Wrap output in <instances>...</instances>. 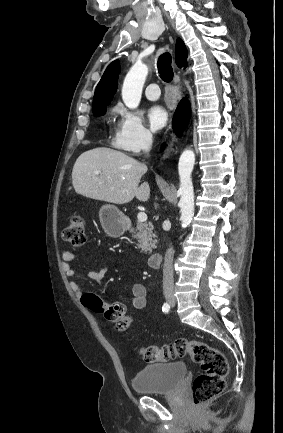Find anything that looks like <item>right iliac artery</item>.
<instances>
[{"label": "right iliac artery", "mask_w": 283, "mask_h": 433, "mask_svg": "<svg viewBox=\"0 0 283 433\" xmlns=\"http://www.w3.org/2000/svg\"><path fill=\"white\" fill-rule=\"evenodd\" d=\"M169 310H170V305H169V303H167V302L164 303V305H163V307H162V311L165 312V313H168Z\"/></svg>", "instance_id": "1"}]
</instances>
